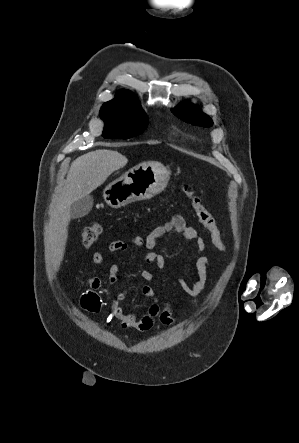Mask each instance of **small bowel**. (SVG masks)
<instances>
[{
    "label": "small bowel",
    "instance_id": "obj_1",
    "mask_svg": "<svg viewBox=\"0 0 299 443\" xmlns=\"http://www.w3.org/2000/svg\"><path fill=\"white\" fill-rule=\"evenodd\" d=\"M167 234H178L182 239L192 241L194 249L198 252H202L205 249L204 240L198 235L194 228L186 225L184 218L180 215H174L163 225L150 228L145 237H133L130 240V245L136 248L145 246L148 250L146 253V261L154 264L155 267L161 271L165 267V259L154 249L158 245V240ZM127 247L128 244L126 242L116 240L110 244L109 250L116 253L126 250ZM93 262L96 265L103 264L105 262V255L100 252L95 253L93 256ZM208 266V258L201 256L195 262L198 279L195 282L179 280V286L190 297V302L193 307L197 305L201 293L206 287ZM119 273V266L114 264L108 267L104 279L90 277L87 281L90 290L85 292L81 297L82 307L90 312H99L101 309V300L97 291L115 285L118 281ZM139 276L142 280L147 282L154 280L153 273L147 269L141 270ZM142 293L147 298L151 299V304L147 312L141 317L123 311L121 303L127 297L126 291H118L113 295L111 314L119 320L120 326L123 329H136L144 332L152 329L157 322L164 326L173 324L175 317L171 306L169 304L161 305L155 291L148 285L142 287Z\"/></svg>",
    "mask_w": 299,
    "mask_h": 443
}]
</instances>
